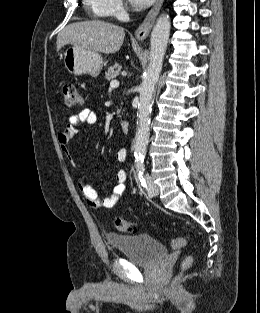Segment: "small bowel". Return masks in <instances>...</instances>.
<instances>
[{
    "label": "small bowel",
    "mask_w": 260,
    "mask_h": 313,
    "mask_svg": "<svg viewBox=\"0 0 260 313\" xmlns=\"http://www.w3.org/2000/svg\"><path fill=\"white\" fill-rule=\"evenodd\" d=\"M97 123V115L89 110L83 109L69 117V122L65 128L57 135V142L65 153L69 163L75 167L76 163L73 156L68 151V145L77 131L79 125H95ZM127 158V150L118 149L115 153V159L119 163H123ZM127 174L120 170L115 175L116 184L105 198H99L96 190L89 185L82 177H76V183L81 190L85 202L95 208H112L127 191Z\"/></svg>",
    "instance_id": "c3829d8e"
}]
</instances>
